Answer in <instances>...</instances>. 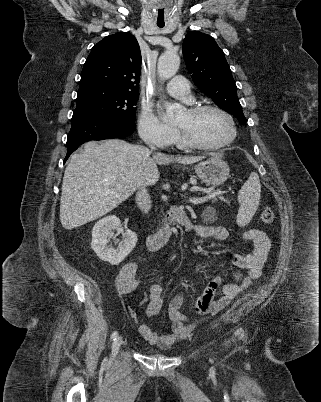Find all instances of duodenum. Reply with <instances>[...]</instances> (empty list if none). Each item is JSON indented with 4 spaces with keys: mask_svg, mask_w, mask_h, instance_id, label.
I'll return each mask as SVG.
<instances>
[{
    "mask_svg": "<svg viewBox=\"0 0 321 402\" xmlns=\"http://www.w3.org/2000/svg\"><path fill=\"white\" fill-rule=\"evenodd\" d=\"M186 214L182 209L174 208L165 216V220L160 229L150 234L146 239V246L149 250H157L163 247L170 239L172 228L177 223H184Z\"/></svg>",
    "mask_w": 321,
    "mask_h": 402,
    "instance_id": "410a0bca",
    "label": "duodenum"
}]
</instances>
